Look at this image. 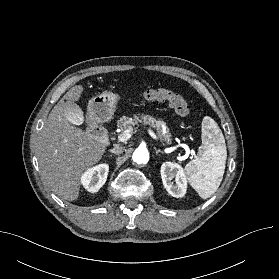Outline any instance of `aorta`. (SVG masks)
Listing matches in <instances>:
<instances>
[{
  "instance_id": "762f6f07",
  "label": "aorta",
  "mask_w": 279,
  "mask_h": 279,
  "mask_svg": "<svg viewBox=\"0 0 279 279\" xmlns=\"http://www.w3.org/2000/svg\"><path fill=\"white\" fill-rule=\"evenodd\" d=\"M132 159L137 164H146L149 161V152L147 148H137L133 153Z\"/></svg>"
}]
</instances>
